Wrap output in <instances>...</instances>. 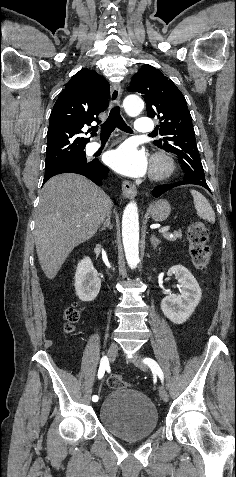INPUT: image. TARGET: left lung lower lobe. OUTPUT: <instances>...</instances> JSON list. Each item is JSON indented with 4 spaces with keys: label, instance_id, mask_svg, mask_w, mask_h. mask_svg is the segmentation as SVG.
<instances>
[{
    "label": "left lung lower lobe",
    "instance_id": "1",
    "mask_svg": "<svg viewBox=\"0 0 236 477\" xmlns=\"http://www.w3.org/2000/svg\"><path fill=\"white\" fill-rule=\"evenodd\" d=\"M185 184H195V185H200L204 188H206L208 191H210L207 183H192V182H189V181H186V180H183V181H178V182H175L173 184H163V185H159L157 187H155L152 191V194L154 197H159L160 195H162L163 193H165L166 191L176 187V186H180V185H185Z\"/></svg>",
    "mask_w": 236,
    "mask_h": 477
}]
</instances>
